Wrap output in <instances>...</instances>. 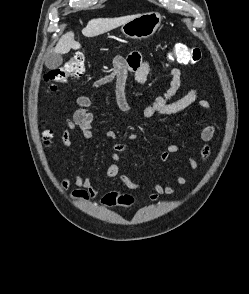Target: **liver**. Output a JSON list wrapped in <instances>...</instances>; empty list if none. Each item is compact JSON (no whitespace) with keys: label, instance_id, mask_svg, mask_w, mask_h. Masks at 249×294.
Returning a JSON list of instances; mask_svg holds the SVG:
<instances>
[{"label":"liver","instance_id":"1","mask_svg":"<svg viewBox=\"0 0 249 294\" xmlns=\"http://www.w3.org/2000/svg\"><path fill=\"white\" fill-rule=\"evenodd\" d=\"M138 15H129L119 18H98L92 19L88 22L87 26L82 30V34L86 37H95L111 31L128 21L134 19ZM81 45L79 42L75 41L74 33L67 32L58 41L54 52L58 54H66L71 49H80Z\"/></svg>","mask_w":249,"mask_h":294}]
</instances>
